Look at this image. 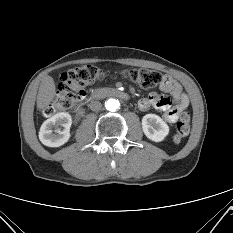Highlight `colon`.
Here are the masks:
<instances>
[{"mask_svg": "<svg viewBox=\"0 0 233 233\" xmlns=\"http://www.w3.org/2000/svg\"><path fill=\"white\" fill-rule=\"evenodd\" d=\"M122 76L142 88L156 87L162 81L158 71L148 69H126L121 71ZM106 73L93 65H85L69 69L62 73L61 84L54 101L44 110L49 117L59 111L72 109L84 96L85 88L101 82ZM190 131V117L183 114L177 124L174 141L179 143Z\"/></svg>", "mask_w": 233, "mask_h": 233, "instance_id": "colon-1", "label": "colon"}]
</instances>
